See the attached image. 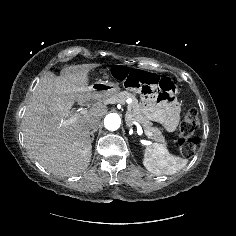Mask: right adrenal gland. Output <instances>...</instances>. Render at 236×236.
I'll use <instances>...</instances> for the list:
<instances>
[{"label":"right adrenal gland","mask_w":236,"mask_h":236,"mask_svg":"<svg viewBox=\"0 0 236 236\" xmlns=\"http://www.w3.org/2000/svg\"><path fill=\"white\" fill-rule=\"evenodd\" d=\"M97 130H93L90 132V135H91V142H93L94 140V133L96 132Z\"/></svg>","instance_id":"1"}]
</instances>
